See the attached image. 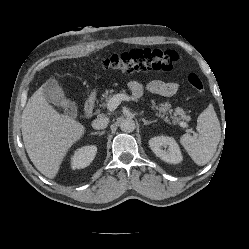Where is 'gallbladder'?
<instances>
[{
    "label": "gallbladder",
    "mask_w": 249,
    "mask_h": 249,
    "mask_svg": "<svg viewBox=\"0 0 249 249\" xmlns=\"http://www.w3.org/2000/svg\"><path fill=\"white\" fill-rule=\"evenodd\" d=\"M43 95L49 103L62 107L67 116L72 118L77 116V106L65 97L63 89L55 79H49L43 85Z\"/></svg>",
    "instance_id": "bac80fb5"
}]
</instances>
